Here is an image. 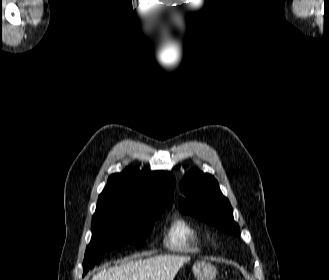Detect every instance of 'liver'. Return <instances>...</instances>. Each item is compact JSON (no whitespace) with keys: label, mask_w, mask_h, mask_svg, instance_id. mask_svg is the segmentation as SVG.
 Here are the masks:
<instances>
[{"label":"liver","mask_w":329,"mask_h":280,"mask_svg":"<svg viewBox=\"0 0 329 280\" xmlns=\"http://www.w3.org/2000/svg\"><path fill=\"white\" fill-rule=\"evenodd\" d=\"M190 257L159 255L147 259H129L103 269L91 280H173Z\"/></svg>","instance_id":"liver-1"}]
</instances>
